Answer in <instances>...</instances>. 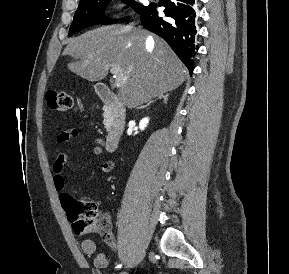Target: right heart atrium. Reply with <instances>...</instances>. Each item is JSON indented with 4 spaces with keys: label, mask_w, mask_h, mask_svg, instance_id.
<instances>
[{
    "label": "right heart atrium",
    "mask_w": 289,
    "mask_h": 274,
    "mask_svg": "<svg viewBox=\"0 0 289 274\" xmlns=\"http://www.w3.org/2000/svg\"><path fill=\"white\" fill-rule=\"evenodd\" d=\"M109 8L112 13L119 14L123 9V4L121 0H111Z\"/></svg>",
    "instance_id": "obj_1"
}]
</instances>
